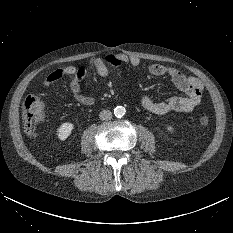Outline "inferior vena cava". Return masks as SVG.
<instances>
[{
  "instance_id": "obj_1",
  "label": "inferior vena cava",
  "mask_w": 233,
  "mask_h": 233,
  "mask_svg": "<svg viewBox=\"0 0 233 233\" xmlns=\"http://www.w3.org/2000/svg\"><path fill=\"white\" fill-rule=\"evenodd\" d=\"M99 118L103 121L110 120L112 118V113L109 110H103L100 112Z\"/></svg>"
}]
</instances>
